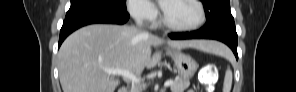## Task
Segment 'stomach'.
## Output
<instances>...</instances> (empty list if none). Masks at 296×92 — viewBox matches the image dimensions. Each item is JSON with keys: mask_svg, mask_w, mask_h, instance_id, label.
I'll use <instances>...</instances> for the list:
<instances>
[{"mask_svg": "<svg viewBox=\"0 0 296 92\" xmlns=\"http://www.w3.org/2000/svg\"><path fill=\"white\" fill-rule=\"evenodd\" d=\"M177 67L178 73L183 80H189L197 71L198 64L190 56L180 50H168Z\"/></svg>", "mask_w": 296, "mask_h": 92, "instance_id": "0dacf381", "label": "stomach"}]
</instances>
